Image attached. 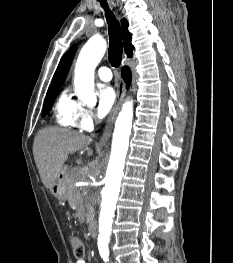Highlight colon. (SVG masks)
Wrapping results in <instances>:
<instances>
[{
  "label": "colon",
  "instance_id": "obj_1",
  "mask_svg": "<svg viewBox=\"0 0 233 263\" xmlns=\"http://www.w3.org/2000/svg\"><path fill=\"white\" fill-rule=\"evenodd\" d=\"M70 242L73 249V255L76 260H81L85 256V245L83 240L76 234L70 236Z\"/></svg>",
  "mask_w": 233,
  "mask_h": 263
}]
</instances>
